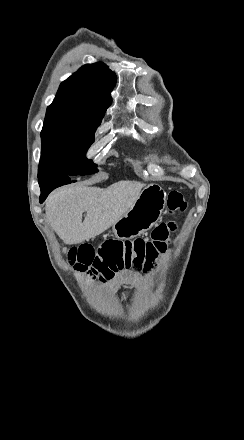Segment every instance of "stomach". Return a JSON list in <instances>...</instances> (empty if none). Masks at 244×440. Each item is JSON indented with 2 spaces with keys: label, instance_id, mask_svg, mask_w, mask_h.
<instances>
[{
  "label": "stomach",
  "instance_id": "0dacf381",
  "mask_svg": "<svg viewBox=\"0 0 244 440\" xmlns=\"http://www.w3.org/2000/svg\"><path fill=\"white\" fill-rule=\"evenodd\" d=\"M166 192L158 184L142 190L132 208L112 226L118 240H133L151 230L159 222L166 206Z\"/></svg>",
  "mask_w": 244,
  "mask_h": 440
}]
</instances>
